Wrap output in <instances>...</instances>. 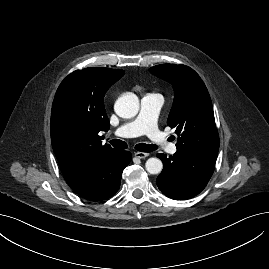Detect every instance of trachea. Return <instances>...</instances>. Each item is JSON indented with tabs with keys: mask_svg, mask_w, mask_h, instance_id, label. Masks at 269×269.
<instances>
[{
	"mask_svg": "<svg viewBox=\"0 0 269 269\" xmlns=\"http://www.w3.org/2000/svg\"><path fill=\"white\" fill-rule=\"evenodd\" d=\"M109 142L114 148L117 149H126L128 147L126 142L119 139H114ZM135 149L140 152H152L157 149V146L153 144L140 143L135 145Z\"/></svg>",
	"mask_w": 269,
	"mask_h": 269,
	"instance_id": "3493384b",
	"label": "trachea"
}]
</instances>
